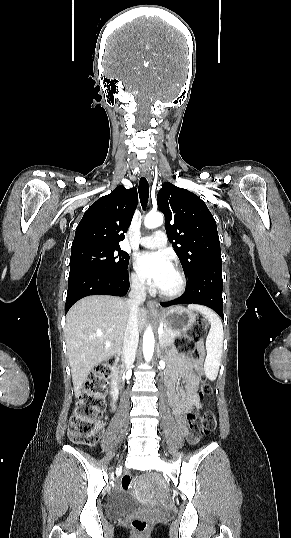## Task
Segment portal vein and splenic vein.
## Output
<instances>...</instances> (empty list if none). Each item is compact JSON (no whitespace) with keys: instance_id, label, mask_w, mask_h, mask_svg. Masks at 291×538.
Returning a JSON list of instances; mask_svg holds the SVG:
<instances>
[{"instance_id":"obj_1","label":"portal vein and splenic vein","mask_w":291,"mask_h":538,"mask_svg":"<svg viewBox=\"0 0 291 538\" xmlns=\"http://www.w3.org/2000/svg\"><path fill=\"white\" fill-rule=\"evenodd\" d=\"M163 332H164L163 328L160 327V328L158 329V334L161 335V334H163Z\"/></svg>"}]
</instances>
